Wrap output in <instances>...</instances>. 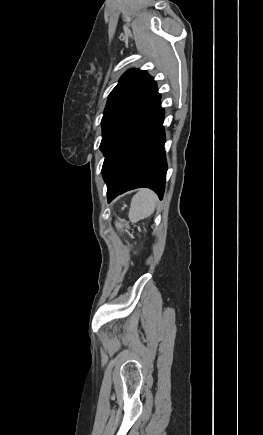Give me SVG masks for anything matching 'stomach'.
Masks as SVG:
<instances>
[{"label":"stomach","instance_id":"0dacf381","mask_svg":"<svg viewBox=\"0 0 263 435\" xmlns=\"http://www.w3.org/2000/svg\"><path fill=\"white\" fill-rule=\"evenodd\" d=\"M112 222L115 225L114 227L115 233H130L131 227L130 224H126L127 219L125 216H114ZM124 245L131 246L132 240L125 239Z\"/></svg>","mask_w":263,"mask_h":435}]
</instances>
